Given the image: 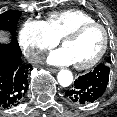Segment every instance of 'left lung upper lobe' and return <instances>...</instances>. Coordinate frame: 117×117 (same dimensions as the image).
Returning a JSON list of instances; mask_svg holds the SVG:
<instances>
[{
  "label": "left lung upper lobe",
  "instance_id": "1",
  "mask_svg": "<svg viewBox=\"0 0 117 117\" xmlns=\"http://www.w3.org/2000/svg\"><path fill=\"white\" fill-rule=\"evenodd\" d=\"M105 64H108V65L111 64L110 58H108V59L106 60Z\"/></svg>",
  "mask_w": 117,
  "mask_h": 117
}]
</instances>
